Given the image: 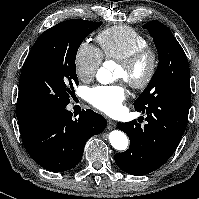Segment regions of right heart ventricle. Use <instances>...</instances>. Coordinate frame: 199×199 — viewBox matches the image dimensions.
Masks as SVG:
<instances>
[{"mask_svg": "<svg viewBox=\"0 0 199 199\" xmlns=\"http://www.w3.org/2000/svg\"><path fill=\"white\" fill-rule=\"evenodd\" d=\"M102 56L107 60H121L132 52L147 46L143 35L125 25H118L101 31L97 36Z\"/></svg>", "mask_w": 199, "mask_h": 199, "instance_id": "obj_1", "label": "right heart ventricle"}]
</instances>
